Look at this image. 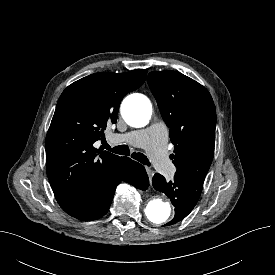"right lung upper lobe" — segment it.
<instances>
[{"label": "right lung upper lobe", "instance_id": "cb5924a9", "mask_svg": "<svg viewBox=\"0 0 275 275\" xmlns=\"http://www.w3.org/2000/svg\"><path fill=\"white\" fill-rule=\"evenodd\" d=\"M147 71L95 73L61 94L45 142L46 170L55 198L69 215L81 211L123 157L96 149L107 125L117 121L122 98L138 89Z\"/></svg>", "mask_w": 275, "mask_h": 275}]
</instances>
